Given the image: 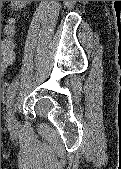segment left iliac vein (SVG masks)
I'll return each mask as SVG.
<instances>
[{
  "mask_svg": "<svg viewBox=\"0 0 121 169\" xmlns=\"http://www.w3.org/2000/svg\"><path fill=\"white\" fill-rule=\"evenodd\" d=\"M15 113H16V105L14 104L13 107H10L6 116L8 126L12 128L17 126Z\"/></svg>",
  "mask_w": 121,
  "mask_h": 169,
  "instance_id": "1",
  "label": "left iliac vein"
}]
</instances>
